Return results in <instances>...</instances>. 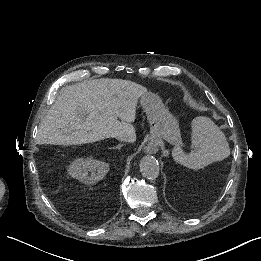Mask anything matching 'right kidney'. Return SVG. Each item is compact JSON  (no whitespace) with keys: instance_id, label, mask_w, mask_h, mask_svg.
Returning <instances> with one entry per match:
<instances>
[{"instance_id":"1","label":"right kidney","mask_w":261,"mask_h":261,"mask_svg":"<svg viewBox=\"0 0 261 261\" xmlns=\"http://www.w3.org/2000/svg\"><path fill=\"white\" fill-rule=\"evenodd\" d=\"M107 163L93 159H78L72 162L68 169L71 177L86 183L95 184L99 182L108 172Z\"/></svg>"}]
</instances>
